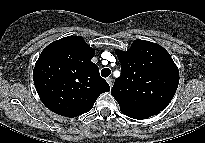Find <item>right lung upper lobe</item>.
<instances>
[{
  "instance_id": "right-lung-upper-lobe-1",
  "label": "right lung upper lobe",
  "mask_w": 205,
  "mask_h": 143,
  "mask_svg": "<svg viewBox=\"0 0 205 143\" xmlns=\"http://www.w3.org/2000/svg\"><path fill=\"white\" fill-rule=\"evenodd\" d=\"M94 54L81 36L61 38L41 52L33 80L48 109L65 117L79 116L92 109L101 93L110 91L91 61Z\"/></svg>"
}]
</instances>
